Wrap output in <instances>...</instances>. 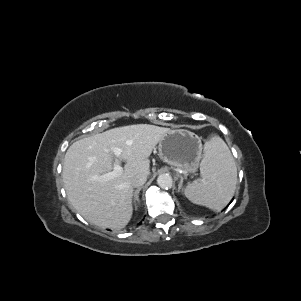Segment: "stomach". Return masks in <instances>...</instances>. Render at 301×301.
I'll return each instance as SVG.
<instances>
[{
	"label": "stomach",
	"instance_id": "obj_1",
	"mask_svg": "<svg viewBox=\"0 0 301 301\" xmlns=\"http://www.w3.org/2000/svg\"><path fill=\"white\" fill-rule=\"evenodd\" d=\"M161 159L185 171H197L202 158L201 138L187 129H169L159 141Z\"/></svg>",
	"mask_w": 301,
	"mask_h": 301
}]
</instances>
